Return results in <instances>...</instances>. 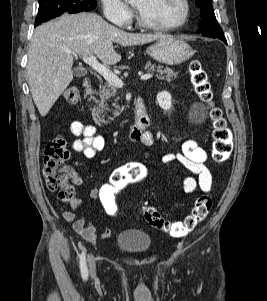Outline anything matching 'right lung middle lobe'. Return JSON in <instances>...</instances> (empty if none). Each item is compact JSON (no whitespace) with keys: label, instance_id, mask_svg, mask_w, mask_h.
<instances>
[{"label":"right lung middle lobe","instance_id":"obj_1","mask_svg":"<svg viewBox=\"0 0 267 301\" xmlns=\"http://www.w3.org/2000/svg\"><path fill=\"white\" fill-rule=\"evenodd\" d=\"M39 10L35 24L60 16L62 13H78L96 8V0H38ZM35 25V26H36Z\"/></svg>","mask_w":267,"mask_h":301}]
</instances>
